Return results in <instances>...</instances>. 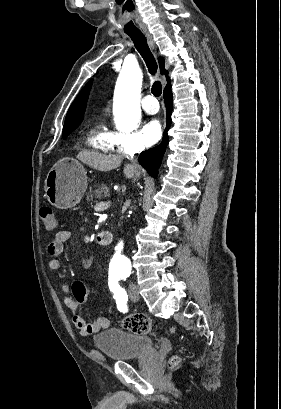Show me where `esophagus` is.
I'll use <instances>...</instances> for the list:
<instances>
[{
	"label": "esophagus",
	"instance_id": "1",
	"mask_svg": "<svg viewBox=\"0 0 281 409\" xmlns=\"http://www.w3.org/2000/svg\"><path fill=\"white\" fill-rule=\"evenodd\" d=\"M143 33L145 37L147 38L150 47L154 50L155 46H154V42H153L151 34L148 31H144Z\"/></svg>",
	"mask_w": 281,
	"mask_h": 409
}]
</instances>
